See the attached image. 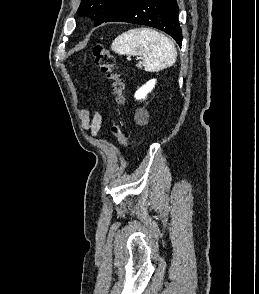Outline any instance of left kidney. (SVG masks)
<instances>
[{
  "instance_id": "5707ae66",
  "label": "left kidney",
  "mask_w": 259,
  "mask_h": 294,
  "mask_svg": "<svg viewBox=\"0 0 259 294\" xmlns=\"http://www.w3.org/2000/svg\"><path fill=\"white\" fill-rule=\"evenodd\" d=\"M156 80L152 79L148 81L145 85H143L141 88H139L135 93V98L137 100L145 99L147 94L153 90L155 87Z\"/></svg>"
}]
</instances>
